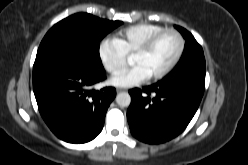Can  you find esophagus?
Instances as JSON below:
<instances>
[{
    "label": "esophagus",
    "instance_id": "esophagus-1",
    "mask_svg": "<svg viewBox=\"0 0 248 165\" xmlns=\"http://www.w3.org/2000/svg\"><path fill=\"white\" fill-rule=\"evenodd\" d=\"M116 91L119 93V92H122V91H125V90L122 89V88H117Z\"/></svg>",
    "mask_w": 248,
    "mask_h": 165
}]
</instances>
